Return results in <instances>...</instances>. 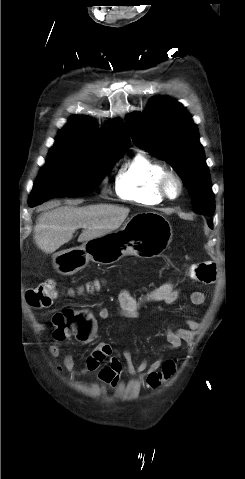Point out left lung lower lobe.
Instances as JSON below:
<instances>
[{"label": "left lung lower lobe", "instance_id": "0a47b994", "mask_svg": "<svg viewBox=\"0 0 245 479\" xmlns=\"http://www.w3.org/2000/svg\"><path fill=\"white\" fill-rule=\"evenodd\" d=\"M209 227L212 228V221L209 222Z\"/></svg>", "mask_w": 245, "mask_h": 479}]
</instances>
